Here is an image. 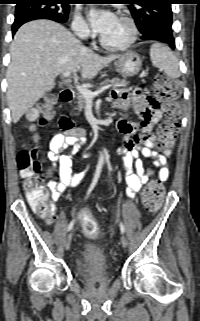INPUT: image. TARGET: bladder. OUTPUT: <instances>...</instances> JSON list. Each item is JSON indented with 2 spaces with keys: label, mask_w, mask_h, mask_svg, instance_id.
<instances>
[{
  "label": "bladder",
  "mask_w": 200,
  "mask_h": 321,
  "mask_svg": "<svg viewBox=\"0 0 200 321\" xmlns=\"http://www.w3.org/2000/svg\"><path fill=\"white\" fill-rule=\"evenodd\" d=\"M97 267L103 273L108 272L109 266L107 264V255L103 249L93 245L85 244L81 259L78 264V271L82 277H87L92 268Z\"/></svg>",
  "instance_id": "1"
}]
</instances>
